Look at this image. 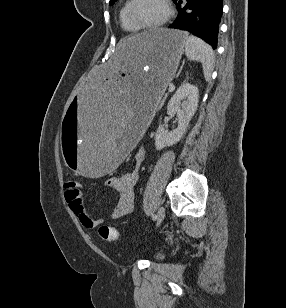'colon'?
<instances>
[{
    "instance_id": "colon-1",
    "label": "colon",
    "mask_w": 286,
    "mask_h": 308,
    "mask_svg": "<svg viewBox=\"0 0 286 308\" xmlns=\"http://www.w3.org/2000/svg\"><path fill=\"white\" fill-rule=\"evenodd\" d=\"M65 187L67 190H78L79 182L75 180H70L66 182ZM99 234L103 240L108 241V242L116 241L118 238L117 230L109 226L100 227Z\"/></svg>"
}]
</instances>
